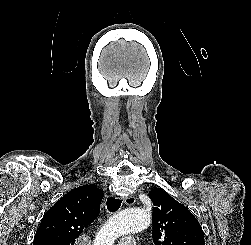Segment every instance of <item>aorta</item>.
<instances>
[{"mask_svg": "<svg viewBox=\"0 0 251 245\" xmlns=\"http://www.w3.org/2000/svg\"><path fill=\"white\" fill-rule=\"evenodd\" d=\"M150 212L140 208H127L112 216L98 232L94 245H113L123 235L133 234L149 227Z\"/></svg>", "mask_w": 251, "mask_h": 245, "instance_id": "1", "label": "aorta"}]
</instances>
